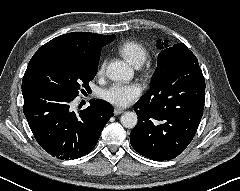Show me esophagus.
<instances>
[{
	"label": "esophagus",
	"mask_w": 240,
	"mask_h": 191,
	"mask_svg": "<svg viewBox=\"0 0 240 191\" xmlns=\"http://www.w3.org/2000/svg\"><path fill=\"white\" fill-rule=\"evenodd\" d=\"M123 112H124V110L121 109V108H115V109H114V115H119V114H121V113H123Z\"/></svg>",
	"instance_id": "obj_1"
}]
</instances>
